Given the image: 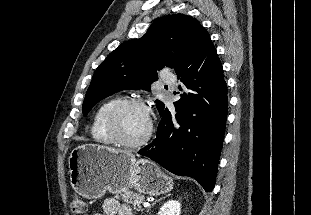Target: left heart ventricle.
Here are the masks:
<instances>
[{
    "label": "left heart ventricle",
    "mask_w": 311,
    "mask_h": 215,
    "mask_svg": "<svg viewBox=\"0 0 311 215\" xmlns=\"http://www.w3.org/2000/svg\"><path fill=\"white\" fill-rule=\"evenodd\" d=\"M149 116L145 109L133 106L127 108L121 116L120 129L122 136L130 142L142 139L148 129Z\"/></svg>",
    "instance_id": "obj_1"
}]
</instances>
